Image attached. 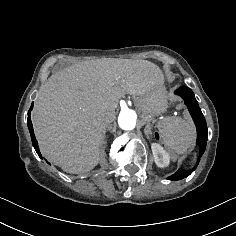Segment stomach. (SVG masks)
I'll list each match as a JSON object with an SVG mask.
<instances>
[{"mask_svg": "<svg viewBox=\"0 0 236 236\" xmlns=\"http://www.w3.org/2000/svg\"><path fill=\"white\" fill-rule=\"evenodd\" d=\"M141 102L147 112L157 114L165 111L168 105V97L164 85L156 84L147 92Z\"/></svg>", "mask_w": 236, "mask_h": 236, "instance_id": "obj_1", "label": "stomach"}]
</instances>
